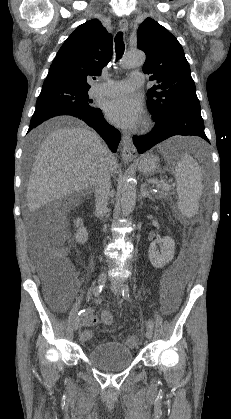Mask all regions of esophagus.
Instances as JSON below:
<instances>
[{"instance_id":"34e87169","label":"esophagus","mask_w":231,"mask_h":419,"mask_svg":"<svg viewBox=\"0 0 231 419\" xmlns=\"http://www.w3.org/2000/svg\"><path fill=\"white\" fill-rule=\"evenodd\" d=\"M119 26L121 30L127 31L128 21L125 18H122L119 22ZM120 148L123 159L131 161L137 157V150L133 145L131 137L128 133H123Z\"/></svg>"}]
</instances>
